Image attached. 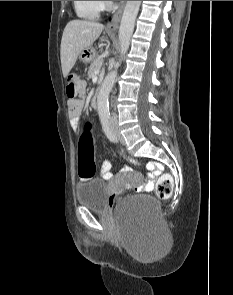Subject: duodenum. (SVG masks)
I'll use <instances>...</instances> for the list:
<instances>
[{"label":"duodenum","instance_id":"duodenum-1","mask_svg":"<svg viewBox=\"0 0 233 295\" xmlns=\"http://www.w3.org/2000/svg\"><path fill=\"white\" fill-rule=\"evenodd\" d=\"M91 106L93 109L97 110L99 106V94H95L91 100Z\"/></svg>","mask_w":233,"mask_h":295}]
</instances>
